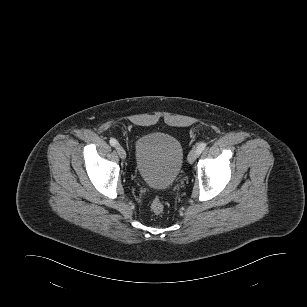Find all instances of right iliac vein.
I'll use <instances>...</instances> for the list:
<instances>
[{
  "label": "right iliac vein",
  "instance_id": "right-iliac-vein-1",
  "mask_svg": "<svg viewBox=\"0 0 307 307\" xmlns=\"http://www.w3.org/2000/svg\"><path fill=\"white\" fill-rule=\"evenodd\" d=\"M116 150H117V153H118V155L120 156L121 159H125L126 158V151H125V149L122 146L118 145L116 147Z\"/></svg>",
  "mask_w": 307,
  "mask_h": 307
}]
</instances>
